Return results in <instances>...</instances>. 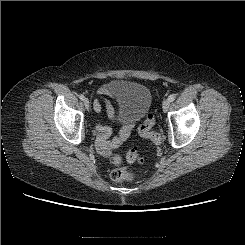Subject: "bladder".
Segmentation results:
<instances>
[{"instance_id":"31cf9c89","label":"bladder","mask_w":245,"mask_h":245,"mask_svg":"<svg viewBox=\"0 0 245 245\" xmlns=\"http://www.w3.org/2000/svg\"><path fill=\"white\" fill-rule=\"evenodd\" d=\"M114 93L126 118L140 120L149 112L152 96L147 86L137 82H120L114 86Z\"/></svg>"}]
</instances>
